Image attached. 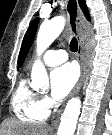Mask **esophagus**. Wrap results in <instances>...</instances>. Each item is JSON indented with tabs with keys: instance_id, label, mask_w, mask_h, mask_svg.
<instances>
[{
	"instance_id": "34e87169",
	"label": "esophagus",
	"mask_w": 112,
	"mask_h": 135,
	"mask_svg": "<svg viewBox=\"0 0 112 135\" xmlns=\"http://www.w3.org/2000/svg\"><path fill=\"white\" fill-rule=\"evenodd\" d=\"M75 2H76V8H75ZM72 4L74 5V7L72 6ZM66 7H67L71 28L76 33V36L79 41L78 52H79V59H80V66H81L80 79L74 91L71 94V96H73L79 92L88 71V65H89V59L91 53V34L90 31L87 29L86 21L78 5V1L67 0ZM61 113H62V109H60L57 112L56 116L52 119L51 122L52 126L54 127L57 126Z\"/></svg>"
}]
</instances>
